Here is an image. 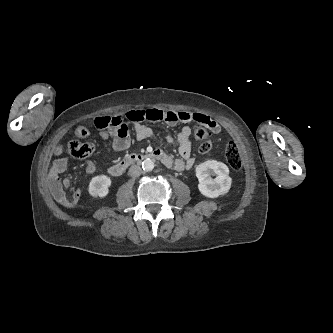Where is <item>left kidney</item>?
Wrapping results in <instances>:
<instances>
[{
    "mask_svg": "<svg viewBox=\"0 0 333 333\" xmlns=\"http://www.w3.org/2000/svg\"><path fill=\"white\" fill-rule=\"evenodd\" d=\"M215 175L213 179L211 176ZM198 189L202 195L216 198L227 193L231 187L229 168L222 162L208 160L196 167Z\"/></svg>",
    "mask_w": 333,
    "mask_h": 333,
    "instance_id": "5707ae66",
    "label": "left kidney"
}]
</instances>
